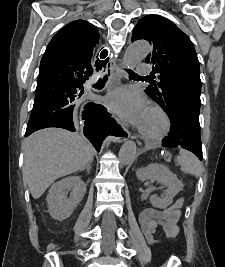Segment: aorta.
<instances>
[{"label":"aorta","mask_w":225,"mask_h":267,"mask_svg":"<svg viewBox=\"0 0 225 267\" xmlns=\"http://www.w3.org/2000/svg\"><path fill=\"white\" fill-rule=\"evenodd\" d=\"M150 51L151 47L146 41H136L130 44L124 53V66L128 69L134 68L139 62L146 58ZM136 154V144L132 141L125 142L119 151V161L121 165L126 166L132 163Z\"/></svg>","instance_id":"1"}]
</instances>
